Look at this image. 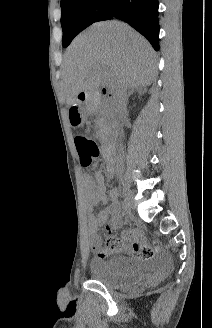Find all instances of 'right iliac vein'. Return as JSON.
<instances>
[{
	"instance_id": "63e3f726",
	"label": "right iliac vein",
	"mask_w": 212,
	"mask_h": 328,
	"mask_svg": "<svg viewBox=\"0 0 212 328\" xmlns=\"http://www.w3.org/2000/svg\"><path fill=\"white\" fill-rule=\"evenodd\" d=\"M122 193L124 196V202H125L126 208H132L133 195H132L131 190L126 185H123Z\"/></svg>"
}]
</instances>
